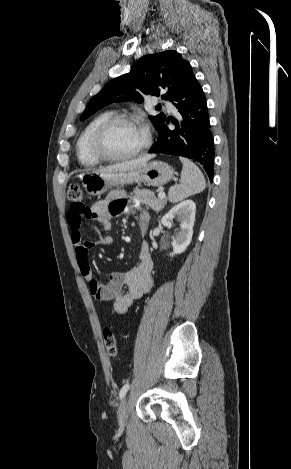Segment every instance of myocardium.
<instances>
[{"instance_id": "myocardium-1", "label": "myocardium", "mask_w": 291, "mask_h": 469, "mask_svg": "<svg viewBox=\"0 0 291 469\" xmlns=\"http://www.w3.org/2000/svg\"><path fill=\"white\" fill-rule=\"evenodd\" d=\"M119 123H128L140 127V122L133 116L127 114H114L104 120L95 130L92 138V149L94 153L103 161L122 162L133 159L144 153L151 144V135L149 131L142 128L145 132V141L140 148L127 155H113L106 147V137L109 130Z\"/></svg>"}]
</instances>
